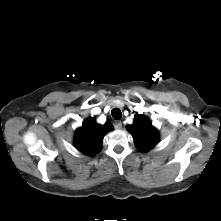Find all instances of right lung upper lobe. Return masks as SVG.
<instances>
[{
    "mask_svg": "<svg viewBox=\"0 0 221 221\" xmlns=\"http://www.w3.org/2000/svg\"><path fill=\"white\" fill-rule=\"evenodd\" d=\"M112 129L110 123L100 125L94 118H89L76 131L74 145L82 153L92 156L100 151L104 135Z\"/></svg>",
    "mask_w": 221,
    "mask_h": 221,
    "instance_id": "1",
    "label": "right lung upper lobe"
}]
</instances>
